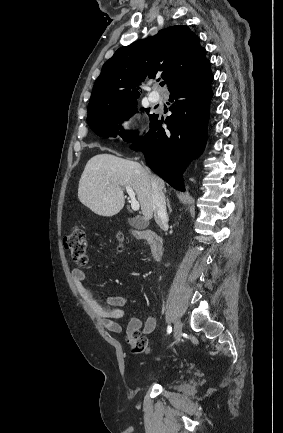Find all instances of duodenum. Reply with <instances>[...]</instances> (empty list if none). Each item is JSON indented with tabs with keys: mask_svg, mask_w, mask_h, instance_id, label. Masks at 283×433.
I'll use <instances>...</instances> for the list:
<instances>
[{
	"mask_svg": "<svg viewBox=\"0 0 283 433\" xmlns=\"http://www.w3.org/2000/svg\"><path fill=\"white\" fill-rule=\"evenodd\" d=\"M134 236L143 240L148 245L150 252L155 260H160L164 253V244L162 238L150 230H135Z\"/></svg>",
	"mask_w": 283,
	"mask_h": 433,
	"instance_id": "410a0bca",
	"label": "duodenum"
}]
</instances>
